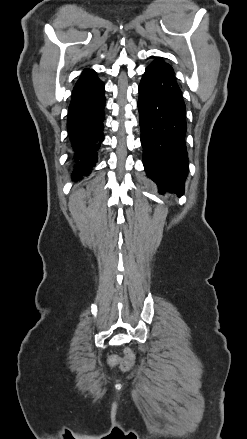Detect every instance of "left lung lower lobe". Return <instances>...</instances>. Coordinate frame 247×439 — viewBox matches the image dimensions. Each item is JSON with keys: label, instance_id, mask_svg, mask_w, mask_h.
<instances>
[{"label": "left lung lower lobe", "instance_id": "0a47b994", "mask_svg": "<svg viewBox=\"0 0 247 439\" xmlns=\"http://www.w3.org/2000/svg\"><path fill=\"white\" fill-rule=\"evenodd\" d=\"M139 122L146 174L159 188L183 194L187 173L185 104L174 71L156 59L139 85Z\"/></svg>", "mask_w": 247, "mask_h": 439}]
</instances>
